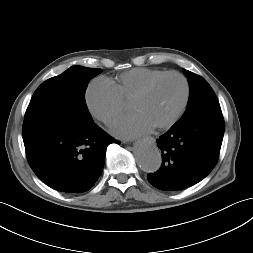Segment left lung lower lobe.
<instances>
[{"label":"left lung lower lobe","instance_id":"0a47b994","mask_svg":"<svg viewBox=\"0 0 253 253\" xmlns=\"http://www.w3.org/2000/svg\"><path fill=\"white\" fill-rule=\"evenodd\" d=\"M224 135V120L175 123L157 139L162 166L148 174L160 190L187 188L204 179L215 167Z\"/></svg>","mask_w":253,"mask_h":253}]
</instances>
